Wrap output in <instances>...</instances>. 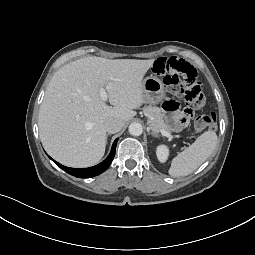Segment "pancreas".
I'll return each instance as SVG.
<instances>
[{"label": "pancreas", "mask_w": 255, "mask_h": 255, "mask_svg": "<svg viewBox=\"0 0 255 255\" xmlns=\"http://www.w3.org/2000/svg\"><path fill=\"white\" fill-rule=\"evenodd\" d=\"M144 114L148 117L149 126L154 133H159L161 130L171 131L170 127L164 122L160 108L147 106L144 108Z\"/></svg>", "instance_id": "obj_1"}]
</instances>
